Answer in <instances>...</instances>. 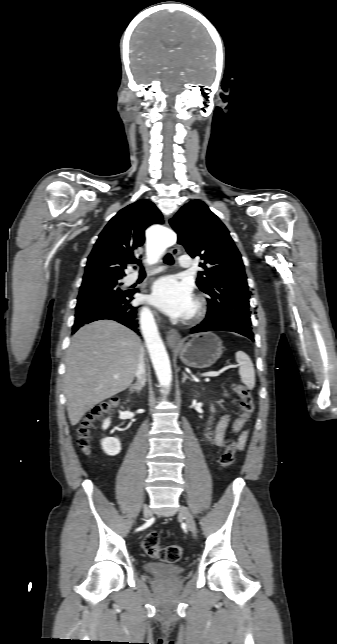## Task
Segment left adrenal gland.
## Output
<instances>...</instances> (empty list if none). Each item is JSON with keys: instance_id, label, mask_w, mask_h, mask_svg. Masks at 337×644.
Here are the masks:
<instances>
[{"instance_id": "obj_1", "label": "left adrenal gland", "mask_w": 337, "mask_h": 644, "mask_svg": "<svg viewBox=\"0 0 337 644\" xmlns=\"http://www.w3.org/2000/svg\"><path fill=\"white\" fill-rule=\"evenodd\" d=\"M182 374H183L182 383H184L187 379L193 381V379L190 378L185 372H183Z\"/></svg>"}]
</instances>
